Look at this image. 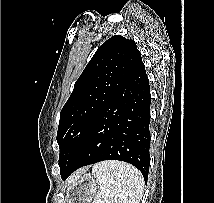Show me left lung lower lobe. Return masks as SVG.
I'll return each instance as SVG.
<instances>
[{
	"mask_svg": "<svg viewBox=\"0 0 214 203\" xmlns=\"http://www.w3.org/2000/svg\"><path fill=\"white\" fill-rule=\"evenodd\" d=\"M149 80L143 62L103 109L79 152L61 175L103 160L125 161L139 169L147 183L151 141Z\"/></svg>",
	"mask_w": 214,
	"mask_h": 203,
	"instance_id": "0a47b994",
	"label": "left lung lower lobe"
}]
</instances>
